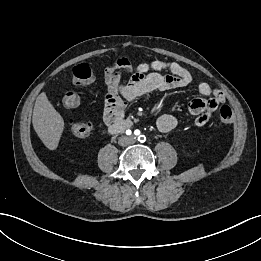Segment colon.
I'll list each match as a JSON object with an SVG mask.
<instances>
[{"instance_id": "1", "label": "colon", "mask_w": 261, "mask_h": 261, "mask_svg": "<svg viewBox=\"0 0 261 261\" xmlns=\"http://www.w3.org/2000/svg\"><path fill=\"white\" fill-rule=\"evenodd\" d=\"M121 64L130 66L127 59H119ZM93 80V73L91 67L86 63H81L73 69V84L75 87H83L90 84ZM64 105L68 108L75 107L79 102V93L76 90L69 91L63 99ZM219 119L223 124H230L233 122L234 115L232 109L223 105L219 111ZM69 128L72 134L78 138H85L90 135L92 125L89 122H76L71 120Z\"/></svg>"}]
</instances>
